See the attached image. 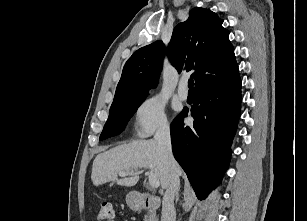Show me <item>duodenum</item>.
Returning <instances> with one entry per match:
<instances>
[{"instance_id":"obj_1","label":"duodenum","mask_w":307,"mask_h":221,"mask_svg":"<svg viewBox=\"0 0 307 221\" xmlns=\"http://www.w3.org/2000/svg\"><path fill=\"white\" fill-rule=\"evenodd\" d=\"M134 207L137 210H156L161 205V200L153 196L135 194L133 196Z\"/></svg>"}]
</instances>
